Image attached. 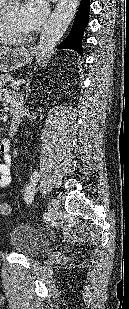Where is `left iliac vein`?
Masks as SVG:
<instances>
[{
	"mask_svg": "<svg viewBox=\"0 0 129 309\" xmlns=\"http://www.w3.org/2000/svg\"><path fill=\"white\" fill-rule=\"evenodd\" d=\"M53 214H54V216H55L56 214H58V213H57V211H56V209H55V211H54V213H53Z\"/></svg>",
	"mask_w": 129,
	"mask_h": 309,
	"instance_id": "4c4485c4",
	"label": "left iliac vein"
}]
</instances>
